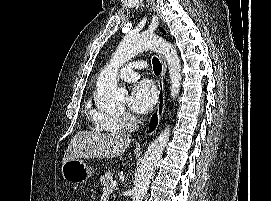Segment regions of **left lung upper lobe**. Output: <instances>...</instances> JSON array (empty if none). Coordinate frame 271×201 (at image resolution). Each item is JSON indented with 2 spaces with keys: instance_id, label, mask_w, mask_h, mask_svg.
<instances>
[{
  "instance_id": "obj_1",
  "label": "left lung upper lobe",
  "mask_w": 271,
  "mask_h": 201,
  "mask_svg": "<svg viewBox=\"0 0 271 201\" xmlns=\"http://www.w3.org/2000/svg\"><path fill=\"white\" fill-rule=\"evenodd\" d=\"M160 31H161V32H163V29H162V28H160Z\"/></svg>"
}]
</instances>
